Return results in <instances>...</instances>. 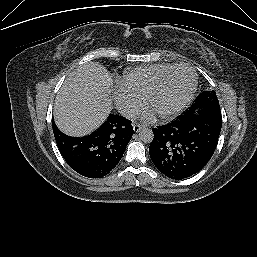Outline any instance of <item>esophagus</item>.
Here are the masks:
<instances>
[{
	"label": "esophagus",
	"instance_id": "1",
	"mask_svg": "<svg viewBox=\"0 0 257 257\" xmlns=\"http://www.w3.org/2000/svg\"><path fill=\"white\" fill-rule=\"evenodd\" d=\"M142 129V126L140 124H134L133 125V130L134 132H139Z\"/></svg>",
	"mask_w": 257,
	"mask_h": 257
}]
</instances>
